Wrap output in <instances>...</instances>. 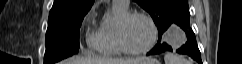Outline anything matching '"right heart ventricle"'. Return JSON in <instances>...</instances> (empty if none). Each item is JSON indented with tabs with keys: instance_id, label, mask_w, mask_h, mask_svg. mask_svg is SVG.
I'll return each instance as SVG.
<instances>
[{
	"instance_id": "1",
	"label": "right heart ventricle",
	"mask_w": 242,
	"mask_h": 64,
	"mask_svg": "<svg viewBox=\"0 0 242 64\" xmlns=\"http://www.w3.org/2000/svg\"><path fill=\"white\" fill-rule=\"evenodd\" d=\"M128 12L115 4L104 14L98 28L90 35V47L105 56L119 55L122 51L117 41V25L119 19Z\"/></svg>"
}]
</instances>
